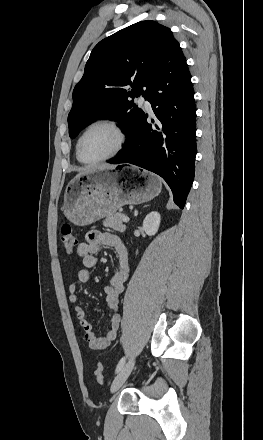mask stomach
<instances>
[{"label":"stomach","mask_w":263,"mask_h":440,"mask_svg":"<svg viewBox=\"0 0 263 440\" xmlns=\"http://www.w3.org/2000/svg\"><path fill=\"white\" fill-rule=\"evenodd\" d=\"M130 169H94L74 177L66 186L63 201L65 217L75 225H89L113 215L124 205L150 201L161 191V180L153 173Z\"/></svg>","instance_id":"1"}]
</instances>
